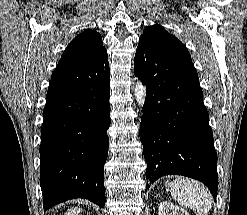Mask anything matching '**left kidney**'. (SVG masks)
<instances>
[{"label": "left kidney", "instance_id": "left-kidney-1", "mask_svg": "<svg viewBox=\"0 0 247 215\" xmlns=\"http://www.w3.org/2000/svg\"><path fill=\"white\" fill-rule=\"evenodd\" d=\"M159 215H190L185 209L172 204L171 202L163 201L159 206Z\"/></svg>", "mask_w": 247, "mask_h": 215}]
</instances>
